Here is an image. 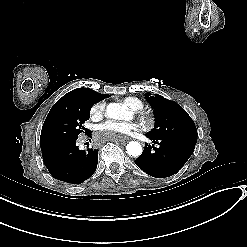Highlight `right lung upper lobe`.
<instances>
[{
  "mask_svg": "<svg viewBox=\"0 0 247 247\" xmlns=\"http://www.w3.org/2000/svg\"><path fill=\"white\" fill-rule=\"evenodd\" d=\"M74 91L87 93L90 96V98L92 99V101L95 103H97V102L110 96L108 94H100V93H98L92 89H89V88H77V89H74Z\"/></svg>",
  "mask_w": 247,
  "mask_h": 247,
  "instance_id": "1",
  "label": "right lung upper lobe"
}]
</instances>
